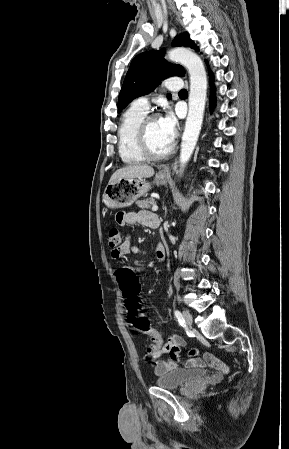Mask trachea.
<instances>
[{
	"label": "trachea",
	"mask_w": 289,
	"mask_h": 449,
	"mask_svg": "<svg viewBox=\"0 0 289 449\" xmlns=\"http://www.w3.org/2000/svg\"><path fill=\"white\" fill-rule=\"evenodd\" d=\"M179 93H180V94H186V93H187V90H186V89H182V90H180Z\"/></svg>",
	"instance_id": "obj_1"
}]
</instances>
